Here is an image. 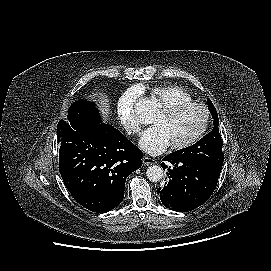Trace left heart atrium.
I'll list each match as a JSON object with an SVG mask.
<instances>
[{"label": "left heart atrium", "mask_w": 271, "mask_h": 271, "mask_svg": "<svg viewBox=\"0 0 271 271\" xmlns=\"http://www.w3.org/2000/svg\"><path fill=\"white\" fill-rule=\"evenodd\" d=\"M139 145L147 154L159 155L169 147L170 142L163 129L154 125L143 133Z\"/></svg>", "instance_id": "1"}]
</instances>
